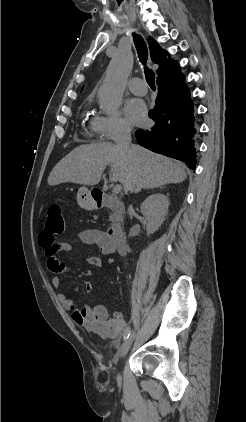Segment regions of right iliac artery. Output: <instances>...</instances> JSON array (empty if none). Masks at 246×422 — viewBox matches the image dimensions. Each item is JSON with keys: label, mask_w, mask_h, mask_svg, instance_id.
Segmentation results:
<instances>
[{"label": "right iliac artery", "mask_w": 246, "mask_h": 422, "mask_svg": "<svg viewBox=\"0 0 246 422\" xmlns=\"http://www.w3.org/2000/svg\"><path fill=\"white\" fill-rule=\"evenodd\" d=\"M130 333H131V329H130V327H127V328L124 330L123 338H124V339L128 338V337H129V335H130Z\"/></svg>", "instance_id": "right-iliac-artery-1"}]
</instances>
